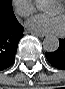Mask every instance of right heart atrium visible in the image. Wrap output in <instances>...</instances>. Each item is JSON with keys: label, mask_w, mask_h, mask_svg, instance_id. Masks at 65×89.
<instances>
[{"label": "right heart atrium", "mask_w": 65, "mask_h": 89, "mask_svg": "<svg viewBox=\"0 0 65 89\" xmlns=\"http://www.w3.org/2000/svg\"><path fill=\"white\" fill-rule=\"evenodd\" d=\"M13 8L17 15L27 17L34 11L33 0H14Z\"/></svg>", "instance_id": "obj_1"}]
</instances>
